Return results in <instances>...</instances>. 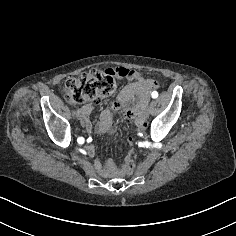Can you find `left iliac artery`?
<instances>
[{
    "label": "left iliac artery",
    "instance_id": "left-iliac-artery-1",
    "mask_svg": "<svg viewBox=\"0 0 236 236\" xmlns=\"http://www.w3.org/2000/svg\"><path fill=\"white\" fill-rule=\"evenodd\" d=\"M151 95H152V98L154 99L158 97L157 91H153Z\"/></svg>",
    "mask_w": 236,
    "mask_h": 236
}]
</instances>
